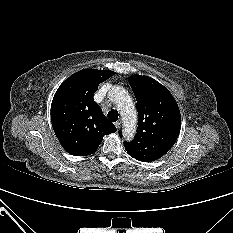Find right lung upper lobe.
Instances as JSON below:
<instances>
[{
	"instance_id": "right-lung-upper-lobe-1",
	"label": "right lung upper lobe",
	"mask_w": 233,
	"mask_h": 233,
	"mask_svg": "<svg viewBox=\"0 0 233 233\" xmlns=\"http://www.w3.org/2000/svg\"><path fill=\"white\" fill-rule=\"evenodd\" d=\"M115 72L84 69L66 79L51 104V122L62 147L71 155L93 154L103 136L116 132L94 101L98 85Z\"/></svg>"
}]
</instances>
